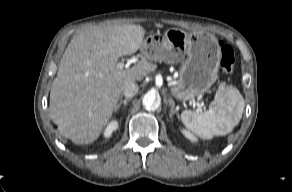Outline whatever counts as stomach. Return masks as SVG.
<instances>
[{"label": "stomach", "instance_id": "0dacf381", "mask_svg": "<svg viewBox=\"0 0 292 192\" xmlns=\"http://www.w3.org/2000/svg\"><path fill=\"white\" fill-rule=\"evenodd\" d=\"M140 49L152 61L181 62L179 77L171 88L177 100H193L218 79L221 51L213 34L168 29L164 35L156 33L145 38Z\"/></svg>", "mask_w": 292, "mask_h": 192}]
</instances>
